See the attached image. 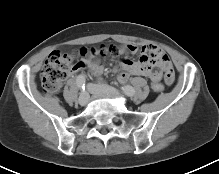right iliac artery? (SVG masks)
<instances>
[{
	"label": "right iliac artery",
	"mask_w": 219,
	"mask_h": 174,
	"mask_svg": "<svg viewBox=\"0 0 219 174\" xmlns=\"http://www.w3.org/2000/svg\"><path fill=\"white\" fill-rule=\"evenodd\" d=\"M86 79L84 75H79L76 79V84L79 89H85Z\"/></svg>",
	"instance_id": "right-iliac-artery-1"
}]
</instances>
